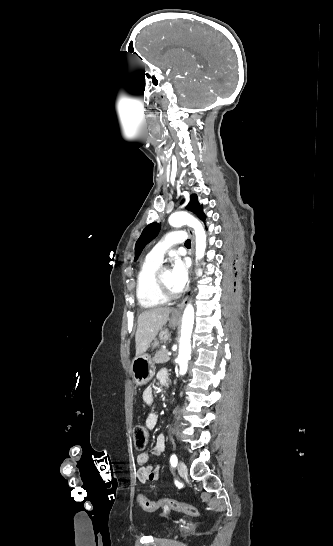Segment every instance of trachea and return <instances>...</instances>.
<instances>
[{"instance_id": "1", "label": "trachea", "mask_w": 333, "mask_h": 546, "mask_svg": "<svg viewBox=\"0 0 333 546\" xmlns=\"http://www.w3.org/2000/svg\"><path fill=\"white\" fill-rule=\"evenodd\" d=\"M185 246H186V247H190V246H191V241H190V240H187V241L185 242Z\"/></svg>"}]
</instances>
